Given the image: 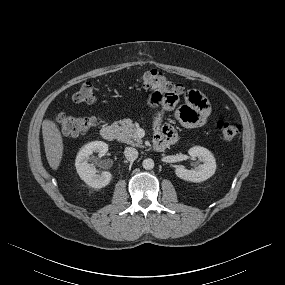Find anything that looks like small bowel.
Listing matches in <instances>:
<instances>
[{
	"label": "small bowel",
	"mask_w": 285,
	"mask_h": 285,
	"mask_svg": "<svg viewBox=\"0 0 285 285\" xmlns=\"http://www.w3.org/2000/svg\"><path fill=\"white\" fill-rule=\"evenodd\" d=\"M184 98L178 92H170L167 89L152 90L147 95V104L152 109L164 110L174 113L176 119L185 128H198L207 123L211 115V107L207 98L197 90H189ZM175 129L163 123L162 113L155 118V138H165L169 143L176 139Z\"/></svg>",
	"instance_id": "1"
}]
</instances>
